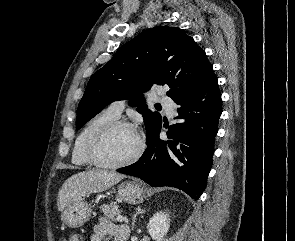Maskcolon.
<instances>
[{
  "mask_svg": "<svg viewBox=\"0 0 295 241\" xmlns=\"http://www.w3.org/2000/svg\"><path fill=\"white\" fill-rule=\"evenodd\" d=\"M70 241H84V238L80 235H76L70 239Z\"/></svg>",
  "mask_w": 295,
  "mask_h": 241,
  "instance_id": "5ec220e1",
  "label": "colon"
}]
</instances>
